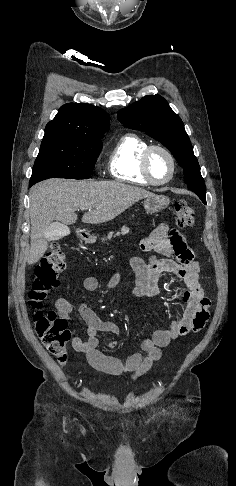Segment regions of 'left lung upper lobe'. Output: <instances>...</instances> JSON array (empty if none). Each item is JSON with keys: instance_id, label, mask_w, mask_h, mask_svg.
<instances>
[{"instance_id": "obj_1", "label": "left lung upper lobe", "mask_w": 236, "mask_h": 486, "mask_svg": "<svg viewBox=\"0 0 236 486\" xmlns=\"http://www.w3.org/2000/svg\"><path fill=\"white\" fill-rule=\"evenodd\" d=\"M117 117L126 127L144 131L167 147L183 168L188 189L206 204V188L190 139L181 118L172 111L163 97L147 95L121 109Z\"/></svg>"}]
</instances>
